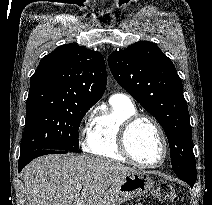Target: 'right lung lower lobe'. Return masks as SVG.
Instances as JSON below:
<instances>
[{"mask_svg":"<svg viewBox=\"0 0 212 205\" xmlns=\"http://www.w3.org/2000/svg\"><path fill=\"white\" fill-rule=\"evenodd\" d=\"M71 152L68 150H57V149H42V150H37L34 151L30 154L25 155L24 157L19 158V163H18V171L20 172L24 166H26L31 160H33L36 157L46 155V154H53V153H67Z\"/></svg>","mask_w":212,"mask_h":205,"instance_id":"right-lung-lower-lobe-1","label":"right lung lower lobe"}]
</instances>
